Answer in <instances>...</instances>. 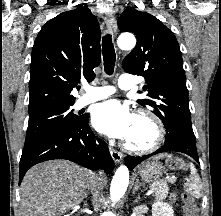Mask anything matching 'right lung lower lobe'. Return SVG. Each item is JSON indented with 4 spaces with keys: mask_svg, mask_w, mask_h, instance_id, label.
I'll return each instance as SVG.
<instances>
[{
    "mask_svg": "<svg viewBox=\"0 0 221 216\" xmlns=\"http://www.w3.org/2000/svg\"><path fill=\"white\" fill-rule=\"evenodd\" d=\"M88 120V115L81 116L77 123L24 147L20 159L19 184L32 166L53 159L70 160L91 170L101 168L107 173L112 171L115 165L108 146L94 136Z\"/></svg>",
    "mask_w": 221,
    "mask_h": 216,
    "instance_id": "98d812e1",
    "label": "right lung lower lobe"
}]
</instances>
